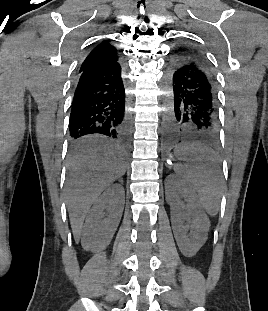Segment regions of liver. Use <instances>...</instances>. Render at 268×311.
Instances as JSON below:
<instances>
[{
	"label": "liver",
	"instance_id": "liver-1",
	"mask_svg": "<svg viewBox=\"0 0 268 311\" xmlns=\"http://www.w3.org/2000/svg\"><path fill=\"white\" fill-rule=\"evenodd\" d=\"M126 172L116 145L83 144L68 162L67 208L74 239L79 241L84 219L103 190Z\"/></svg>",
	"mask_w": 268,
	"mask_h": 311
}]
</instances>
